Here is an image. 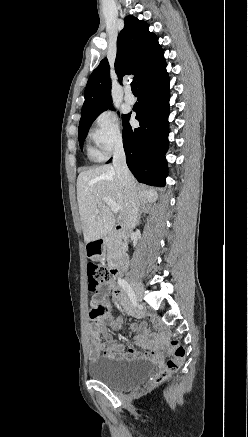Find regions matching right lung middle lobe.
I'll list each match as a JSON object with an SVG mask.
<instances>
[{
  "label": "right lung middle lobe",
  "mask_w": 248,
  "mask_h": 437,
  "mask_svg": "<svg viewBox=\"0 0 248 437\" xmlns=\"http://www.w3.org/2000/svg\"><path fill=\"white\" fill-rule=\"evenodd\" d=\"M98 115L99 114L89 116V117L83 119L82 121H80L79 131H78V140L80 142V146L83 145V141L85 140V138L87 136L88 130H89L92 122L97 118ZM128 117H129V115H122L123 125L128 120Z\"/></svg>",
  "instance_id": "right-lung-middle-lobe-1"
}]
</instances>
